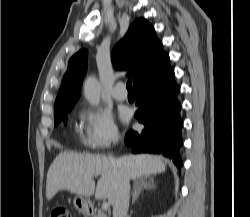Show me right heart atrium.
<instances>
[{
  "label": "right heart atrium",
  "instance_id": "obj_1",
  "mask_svg": "<svg viewBox=\"0 0 250 217\" xmlns=\"http://www.w3.org/2000/svg\"><path fill=\"white\" fill-rule=\"evenodd\" d=\"M81 144L97 151L110 147L119 138L118 128L112 115L102 109L84 106L79 110Z\"/></svg>",
  "mask_w": 250,
  "mask_h": 217
}]
</instances>
